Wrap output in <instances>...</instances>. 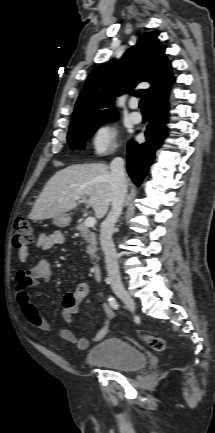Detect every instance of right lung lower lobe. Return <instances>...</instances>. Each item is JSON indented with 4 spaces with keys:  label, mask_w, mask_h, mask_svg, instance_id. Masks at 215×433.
Segmentation results:
<instances>
[{
    "label": "right lung lower lobe",
    "mask_w": 215,
    "mask_h": 433,
    "mask_svg": "<svg viewBox=\"0 0 215 433\" xmlns=\"http://www.w3.org/2000/svg\"><path fill=\"white\" fill-rule=\"evenodd\" d=\"M169 90L153 99L150 103L152 120L145 131L147 141L142 144L129 141L127 147V171L133 182L139 186L154 160L155 151L167 136L165 123L168 117Z\"/></svg>",
    "instance_id": "1"
}]
</instances>
